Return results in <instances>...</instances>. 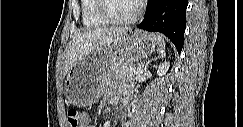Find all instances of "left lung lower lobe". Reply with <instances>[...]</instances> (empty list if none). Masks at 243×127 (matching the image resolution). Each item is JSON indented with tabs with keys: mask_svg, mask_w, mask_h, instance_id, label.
<instances>
[{
	"mask_svg": "<svg viewBox=\"0 0 243 127\" xmlns=\"http://www.w3.org/2000/svg\"><path fill=\"white\" fill-rule=\"evenodd\" d=\"M187 4L188 0H148L144 20L137 27L163 33L180 53L184 43Z\"/></svg>",
	"mask_w": 243,
	"mask_h": 127,
	"instance_id": "obj_1",
	"label": "left lung lower lobe"
}]
</instances>
